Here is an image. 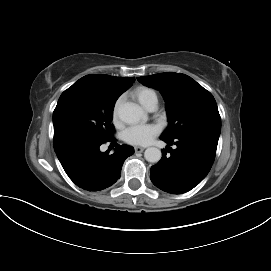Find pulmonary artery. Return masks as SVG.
Here are the masks:
<instances>
[{
	"label": "pulmonary artery",
	"mask_w": 271,
	"mask_h": 271,
	"mask_svg": "<svg viewBox=\"0 0 271 271\" xmlns=\"http://www.w3.org/2000/svg\"><path fill=\"white\" fill-rule=\"evenodd\" d=\"M157 103H158V100L155 99L151 104L150 106L147 108L149 111H154L156 108H157Z\"/></svg>",
	"instance_id": "obj_1"
}]
</instances>
